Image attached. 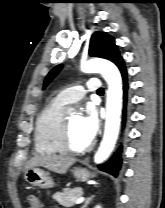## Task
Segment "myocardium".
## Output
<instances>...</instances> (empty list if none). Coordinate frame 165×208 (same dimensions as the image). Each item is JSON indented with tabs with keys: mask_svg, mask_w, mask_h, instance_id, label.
<instances>
[{
	"mask_svg": "<svg viewBox=\"0 0 165 208\" xmlns=\"http://www.w3.org/2000/svg\"><path fill=\"white\" fill-rule=\"evenodd\" d=\"M70 125H69V117H64L61 132H60V147L64 153L70 154H83L91 150L93 144L89 143L87 146L82 148H76L70 143Z\"/></svg>",
	"mask_w": 165,
	"mask_h": 208,
	"instance_id": "obj_1",
	"label": "myocardium"
}]
</instances>
